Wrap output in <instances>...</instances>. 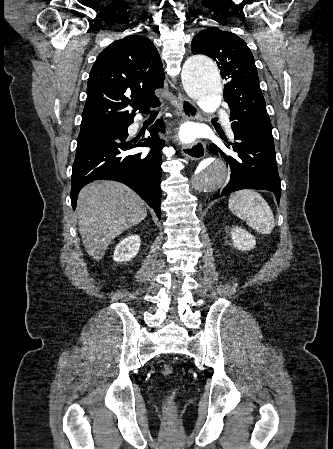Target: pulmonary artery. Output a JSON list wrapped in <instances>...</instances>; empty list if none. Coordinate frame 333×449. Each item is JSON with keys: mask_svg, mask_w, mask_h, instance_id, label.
I'll use <instances>...</instances> for the list:
<instances>
[{"mask_svg": "<svg viewBox=\"0 0 333 449\" xmlns=\"http://www.w3.org/2000/svg\"><path fill=\"white\" fill-rule=\"evenodd\" d=\"M225 122H226V125L229 126V120H228V118H225Z\"/></svg>", "mask_w": 333, "mask_h": 449, "instance_id": "1", "label": "pulmonary artery"}]
</instances>
